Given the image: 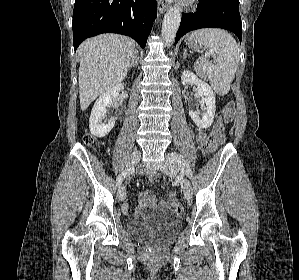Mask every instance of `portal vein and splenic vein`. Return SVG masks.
Segmentation results:
<instances>
[{"label":"portal vein and splenic vein","mask_w":299,"mask_h":280,"mask_svg":"<svg viewBox=\"0 0 299 280\" xmlns=\"http://www.w3.org/2000/svg\"><path fill=\"white\" fill-rule=\"evenodd\" d=\"M206 55L208 56V55H210V53H207Z\"/></svg>","instance_id":"obj_1"}]
</instances>
